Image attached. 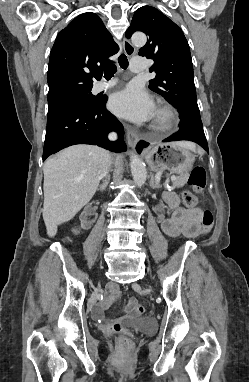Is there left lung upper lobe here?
<instances>
[{
	"instance_id": "obj_1",
	"label": "left lung upper lobe",
	"mask_w": 249,
	"mask_h": 382,
	"mask_svg": "<svg viewBox=\"0 0 249 382\" xmlns=\"http://www.w3.org/2000/svg\"><path fill=\"white\" fill-rule=\"evenodd\" d=\"M136 31L148 35L139 55L154 60L149 70L156 77L149 88L172 104L180 118H200L190 49L182 30L156 8L143 6L136 10L126 37Z\"/></svg>"
}]
</instances>
